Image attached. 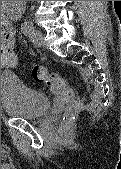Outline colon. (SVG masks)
<instances>
[{
  "label": "colon",
  "instance_id": "colon-1",
  "mask_svg": "<svg viewBox=\"0 0 121 169\" xmlns=\"http://www.w3.org/2000/svg\"><path fill=\"white\" fill-rule=\"evenodd\" d=\"M14 49L15 44L9 42L1 44V59L5 66H14L16 64L17 56ZM32 76L37 82H43L53 95L67 105L68 113L71 114L81 109L82 103L75 99L73 89L60 74L35 66L32 69Z\"/></svg>",
  "mask_w": 121,
  "mask_h": 169
}]
</instances>
